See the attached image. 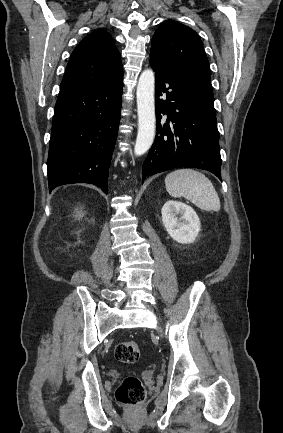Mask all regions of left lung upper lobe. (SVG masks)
<instances>
[{
  "label": "left lung upper lobe",
  "mask_w": 283,
  "mask_h": 433,
  "mask_svg": "<svg viewBox=\"0 0 283 433\" xmlns=\"http://www.w3.org/2000/svg\"><path fill=\"white\" fill-rule=\"evenodd\" d=\"M150 57L193 77L199 89L197 105L204 112L216 114L209 62L194 30L173 20L161 23L152 37Z\"/></svg>",
  "instance_id": "5c2ea615"
}]
</instances>
